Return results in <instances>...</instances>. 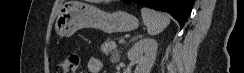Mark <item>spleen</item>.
Listing matches in <instances>:
<instances>
[{"instance_id":"spleen-1","label":"spleen","mask_w":244,"mask_h":73,"mask_svg":"<svg viewBox=\"0 0 244 73\" xmlns=\"http://www.w3.org/2000/svg\"><path fill=\"white\" fill-rule=\"evenodd\" d=\"M141 16L147 32L151 36L161 33L170 24L168 15L149 8H142Z\"/></svg>"}]
</instances>
